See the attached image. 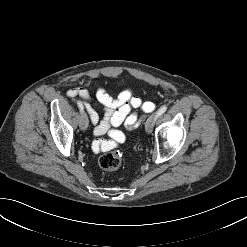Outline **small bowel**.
Instances as JSON below:
<instances>
[{
  "mask_svg": "<svg viewBox=\"0 0 247 247\" xmlns=\"http://www.w3.org/2000/svg\"><path fill=\"white\" fill-rule=\"evenodd\" d=\"M90 82L81 86L70 88L67 91L69 97H80L83 100L82 105L89 113L90 119L96 125L94 133L97 136L110 132L112 138L115 134H120L112 127L124 124L127 129H134L138 125L137 115L132 112L133 109H141L147 113L155 108V104L150 101H143L136 96L130 88L122 90L116 97H112L104 87H98L95 91L96 103H93L87 91ZM103 112L100 120L98 109ZM107 143L104 140H97L93 148L95 151H104L100 146Z\"/></svg>",
  "mask_w": 247,
  "mask_h": 247,
  "instance_id": "c3829d8e",
  "label": "small bowel"
}]
</instances>
